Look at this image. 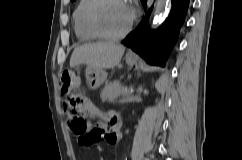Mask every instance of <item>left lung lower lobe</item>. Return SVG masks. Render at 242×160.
<instances>
[{
	"instance_id": "obj_1",
	"label": "left lung lower lobe",
	"mask_w": 242,
	"mask_h": 160,
	"mask_svg": "<svg viewBox=\"0 0 242 160\" xmlns=\"http://www.w3.org/2000/svg\"><path fill=\"white\" fill-rule=\"evenodd\" d=\"M141 2L146 11V0ZM189 2L190 0H172V9L168 18L160 29L153 32L148 29L151 7L136 29L121 43L131 48L148 63L164 66L170 51L178 39Z\"/></svg>"
}]
</instances>
